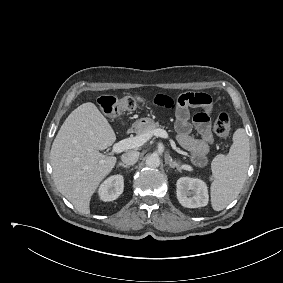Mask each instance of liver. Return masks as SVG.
<instances>
[{
  "label": "liver",
  "instance_id": "6515ba94",
  "mask_svg": "<svg viewBox=\"0 0 283 283\" xmlns=\"http://www.w3.org/2000/svg\"><path fill=\"white\" fill-rule=\"evenodd\" d=\"M115 140L111 125L91 102L72 111L54 139L50 155L55 184L84 215L90 213L92 195L117 162L99 151Z\"/></svg>",
  "mask_w": 283,
  "mask_h": 283
}]
</instances>
